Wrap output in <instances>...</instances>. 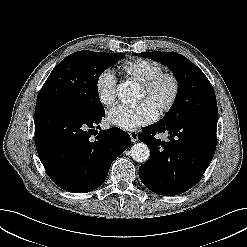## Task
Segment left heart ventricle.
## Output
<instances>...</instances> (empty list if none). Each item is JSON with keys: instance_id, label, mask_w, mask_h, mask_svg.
I'll use <instances>...</instances> for the list:
<instances>
[{"instance_id": "left-heart-ventricle-1", "label": "left heart ventricle", "mask_w": 247, "mask_h": 247, "mask_svg": "<svg viewBox=\"0 0 247 247\" xmlns=\"http://www.w3.org/2000/svg\"><path fill=\"white\" fill-rule=\"evenodd\" d=\"M172 92V85L169 81H163L155 90L151 96H147L144 89L142 88L139 100L147 99L149 100L156 109L159 105L165 102Z\"/></svg>"}]
</instances>
